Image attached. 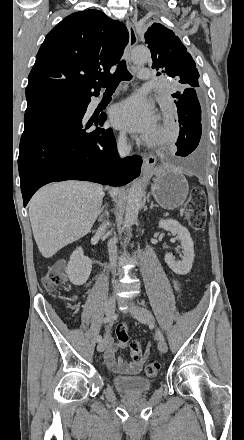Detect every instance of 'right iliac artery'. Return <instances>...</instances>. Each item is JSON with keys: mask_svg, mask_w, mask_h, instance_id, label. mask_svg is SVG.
Here are the masks:
<instances>
[{"mask_svg": "<svg viewBox=\"0 0 244 440\" xmlns=\"http://www.w3.org/2000/svg\"><path fill=\"white\" fill-rule=\"evenodd\" d=\"M109 321H110V317H108V316H106V317L103 319V323H105V324H107ZM97 341H98L99 343L102 341V336H101V335H99V336L97 337Z\"/></svg>", "mask_w": 244, "mask_h": 440, "instance_id": "1", "label": "right iliac artery"}]
</instances>
